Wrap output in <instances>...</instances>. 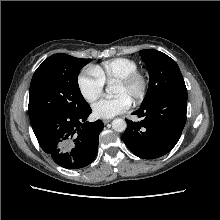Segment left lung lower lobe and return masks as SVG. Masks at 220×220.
Masks as SVG:
<instances>
[{
    "mask_svg": "<svg viewBox=\"0 0 220 220\" xmlns=\"http://www.w3.org/2000/svg\"><path fill=\"white\" fill-rule=\"evenodd\" d=\"M187 91L164 95L135 115L140 122L126 120L122 139L129 150L143 159H155L167 154L178 142L186 123Z\"/></svg>",
    "mask_w": 220,
    "mask_h": 220,
    "instance_id": "0a47b994",
    "label": "left lung lower lobe"
}]
</instances>
